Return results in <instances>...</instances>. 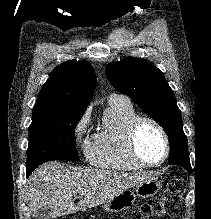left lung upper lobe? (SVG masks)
<instances>
[{"mask_svg":"<svg viewBox=\"0 0 211 219\" xmlns=\"http://www.w3.org/2000/svg\"><path fill=\"white\" fill-rule=\"evenodd\" d=\"M105 72L119 92L132 98L165 130L170 142V156L189 158L181 112L163 73L137 58L108 64Z\"/></svg>","mask_w":211,"mask_h":219,"instance_id":"left-lung-upper-lobe-1","label":"left lung upper lobe"}]
</instances>
